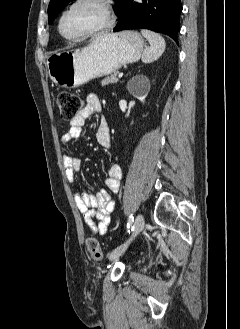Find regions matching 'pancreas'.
Wrapping results in <instances>:
<instances>
[{
    "mask_svg": "<svg viewBox=\"0 0 240 329\" xmlns=\"http://www.w3.org/2000/svg\"><path fill=\"white\" fill-rule=\"evenodd\" d=\"M117 82H118L117 73H114L111 76H108V77L104 78L103 80H101V85L106 86V85L117 83Z\"/></svg>",
    "mask_w": 240,
    "mask_h": 329,
    "instance_id": "cf45deb5",
    "label": "pancreas"
}]
</instances>
